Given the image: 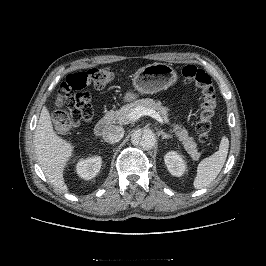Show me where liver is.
I'll return each instance as SVG.
<instances>
[{
	"label": "liver",
	"instance_id": "obj_1",
	"mask_svg": "<svg viewBox=\"0 0 266 266\" xmlns=\"http://www.w3.org/2000/svg\"><path fill=\"white\" fill-rule=\"evenodd\" d=\"M34 146L37 161L47 180L59 192L67 193L63 172L67 162L74 153V145L58 136L54 130L49 110H41L34 134Z\"/></svg>",
	"mask_w": 266,
	"mask_h": 266
}]
</instances>
